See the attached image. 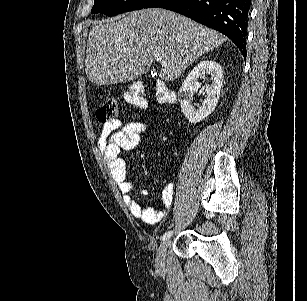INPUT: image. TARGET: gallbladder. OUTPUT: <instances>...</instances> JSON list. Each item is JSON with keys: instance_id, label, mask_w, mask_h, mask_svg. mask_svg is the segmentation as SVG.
<instances>
[{"instance_id": "gallbladder-1", "label": "gallbladder", "mask_w": 307, "mask_h": 301, "mask_svg": "<svg viewBox=\"0 0 307 301\" xmlns=\"http://www.w3.org/2000/svg\"><path fill=\"white\" fill-rule=\"evenodd\" d=\"M149 76H151V78H155V76H157L156 70H151V72H149Z\"/></svg>"}]
</instances>
